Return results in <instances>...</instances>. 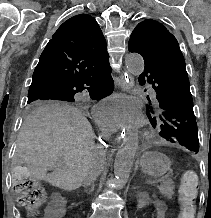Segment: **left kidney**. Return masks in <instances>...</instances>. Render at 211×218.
Segmentation results:
<instances>
[{
	"instance_id": "obj_1",
	"label": "left kidney",
	"mask_w": 211,
	"mask_h": 218,
	"mask_svg": "<svg viewBox=\"0 0 211 218\" xmlns=\"http://www.w3.org/2000/svg\"><path fill=\"white\" fill-rule=\"evenodd\" d=\"M136 210H147L146 202H137ZM171 211L170 207H167V202H163V198H157V202H154L152 218H164Z\"/></svg>"
}]
</instances>
